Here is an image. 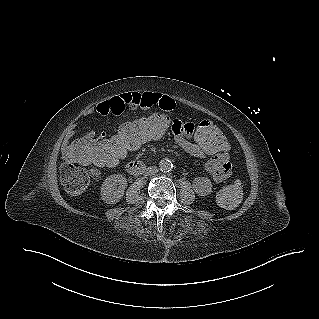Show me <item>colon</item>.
<instances>
[{"mask_svg":"<svg viewBox=\"0 0 319 319\" xmlns=\"http://www.w3.org/2000/svg\"><path fill=\"white\" fill-rule=\"evenodd\" d=\"M169 128L165 115L151 113L136 115L131 123L100 139L90 138L87 134L78 140L67 138L63 150L65 164L61 168V181L65 190L71 195H79L88 187L90 175L80 164L91 163L99 168L114 167L143 145L163 139ZM192 135L200 148L212 154L227 150V133L211 120L198 121ZM241 198L242 184L238 180L225 186L217 194L218 204L228 209L235 208Z\"/></svg>","mask_w":319,"mask_h":319,"instance_id":"colon-1","label":"colon"}]
</instances>
